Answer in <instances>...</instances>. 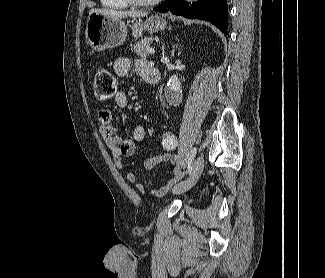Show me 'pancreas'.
<instances>
[{"instance_id": "obj_1", "label": "pancreas", "mask_w": 325, "mask_h": 278, "mask_svg": "<svg viewBox=\"0 0 325 278\" xmlns=\"http://www.w3.org/2000/svg\"><path fill=\"white\" fill-rule=\"evenodd\" d=\"M153 42L152 37H146L141 41H138L131 45V50L136 56L146 58L148 56V50Z\"/></svg>"}]
</instances>
